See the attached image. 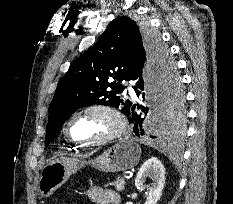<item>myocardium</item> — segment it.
<instances>
[{
  "mask_svg": "<svg viewBox=\"0 0 233 204\" xmlns=\"http://www.w3.org/2000/svg\"><path fill=\"white\" fill-rule=\"evenodd\" d=\"M88 113H102L110 117L114 123V128L113 130L105 135L104 137L97 139V140H76L74 139L70 133H69V127L73 120L81 115L88 114ZM127 128V120L123 113L117 109L116 107L109 105V104H104V103H95V104H90L87 106H84L75 112H73L65 122L63 132L65 137L78 145L81 146H99V145H105L108 144L120 136L123 135V133L126 131Z\"/></svg>",
  "mask_w": 233,
  "mask_h": 204,
  "instance_id": "obj_1",
  "label": "myocardium"
}]
</instances>
